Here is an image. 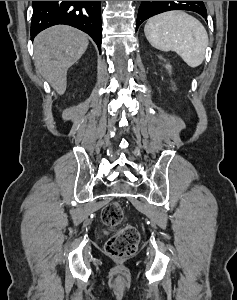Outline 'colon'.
Returning a JSON list of instances; mask_svg holds the SVG:
<instances>
[{
	"label": "colon",
	"mask_w": 237,
	"mask_h": 300,
	"mask_svg": "<svg viewBox=\"0 0 237 300\" xmlns=\"http://www.w3.org/2000/svg\"><path fill=\"white\" fill-rule=\"evenodd\" d=\"M102 222L110 227L118 226L123 220V209L118 202H110L101 212ZM139 243V232L133 225H126L105 243V252L117 259L133 255Z\"/></svg>",
	"instance_id": "1"
}]
</instances>
